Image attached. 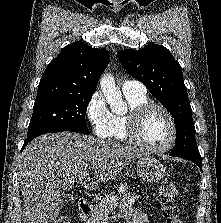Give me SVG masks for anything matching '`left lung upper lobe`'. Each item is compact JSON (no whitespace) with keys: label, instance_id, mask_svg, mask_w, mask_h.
Instances as JSON below:
<instances>
[{"label":"left lung upper lobe","instance_id":"left-lung-upper-lobe-1","mask_svg":"<svg viewBox=\"0 0 221 223\" xmlns=\"http://www.w3.org/2000/svg\"><path fill=\"white\" fill-rule=\"evenodd\" d=\"M118 59L125 70L140 80L174 117L177 135L170 155L200 157L181 66L170 51L152 44L139 51L122 50Z\"/></svg>","mask_w":221,"mask_h":223}]
</instances>
